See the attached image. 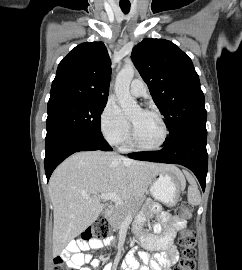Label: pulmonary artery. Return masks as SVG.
Wrapping results in <instances>:
<instances>
[{"instance_id": "obj_1", "label": "pulmonary artery", "mask_w": 242, "mask_h": 270, "mask_svg": "<svg viewBox=\"0 0 242 270\" xmlns=\"http://www.w3.org/2000/svg\"><path fill=\"white\" fill-rule=\"evenodd\" d=\"M130 93L135 97H141L146 93V85L141 79H134L130 85Z\"/></svg>"}]
</instances>
